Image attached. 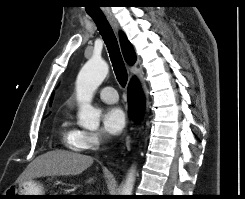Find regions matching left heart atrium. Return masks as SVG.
<instances>
[{"mask_svg":"<svg viewBox=\"0 0 245 199\" xmlns=\"http://www.w3.org/2000/svg\"><path fill=\"white\" fill-rule=\"evenodd\" d=\"M103 127L104 130L111 134H119L126 123V118L123 110L119 107H109L103 113Z\"/></svg>","mask_w":245,"mask_h":199,"instance_id":"obj_1","label":"left heart atrium"}]
</instances>
